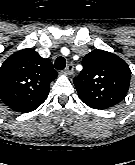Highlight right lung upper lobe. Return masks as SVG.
I'll return each mask as SVG.
<instances>
[{"instance_id": "obj_1", "label": "right lung upper lobe", "mask_w": 135, "mask_h": 165, "mask_svg": "<svg viewBox=\"0 0 135 165\" xmlns=\"http://www.w3.org/2000/svg\"><path fill=\"white\" fill-rule=\"evenodd\" d=\"M56 77L50 60L31 48L20 50L0 68L1 99L14 111H33L46 100L50 83Z\"/></svg>"}]
</instances>
